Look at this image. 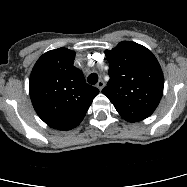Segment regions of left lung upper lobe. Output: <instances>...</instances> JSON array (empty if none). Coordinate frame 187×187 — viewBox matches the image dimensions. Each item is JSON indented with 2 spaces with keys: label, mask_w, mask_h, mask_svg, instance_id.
Listing matches in <instances>:
<instances>
[{
  "label": "left lung upper lobe",
  "mask_w": 187,
  "mask_h": 187,
  "mask_svg": "<svg viewBox=\"0 0 187 187\" xmlns=\"http://www.w3.org/2000/svg\"><path fill=\"white\" fill-rule=\"evenodd\" d=\"M110 80L102 93L128 122H139L157 108L164 88L161 67L146 47L120 42L106 50Z\"/></svg>",
  "instance_id": "obj_1"
}]
</instances>
